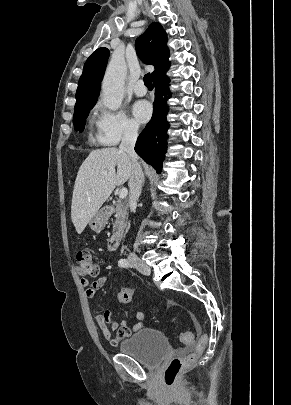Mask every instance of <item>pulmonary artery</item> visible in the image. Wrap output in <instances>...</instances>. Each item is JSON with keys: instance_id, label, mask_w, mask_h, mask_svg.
Listing matches in <instances>:
<instances>
[{"instance_id": "obj_1", "label": "pulmonary artery", "mask_w": 291, "mask_h": 405, "mask_svg": "<svg viewBox=\"0 0 291 405\" xmlns=\"http://www.w3.org/2000/svg\"><path fill=\"white\" fill-rule=\"evenodd\" d=\"M134 93L137 96H144L147 93V89L142 80H139L133 87Z\"/></svg>"}]
</instances>
